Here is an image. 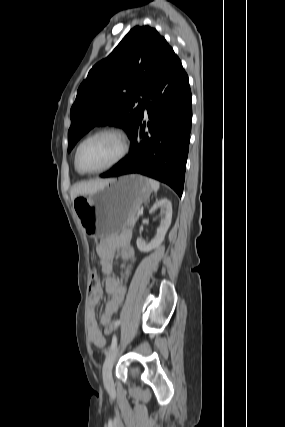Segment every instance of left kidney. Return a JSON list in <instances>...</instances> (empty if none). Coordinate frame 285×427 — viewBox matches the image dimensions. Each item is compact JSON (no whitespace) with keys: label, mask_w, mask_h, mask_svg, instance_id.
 <instances>
[{"label":"left kidney","mask_w":285,"mask_h":427,"mask_svg":"<svg viewBox=\"0 0 285 427\" xmlns=\"http://www.w3.org/2000/svg\"><path fill=\"white\" fill-rule=\"evenodd\" d=\"M158 208L165 214V218L161 221L160 227L157 229V234L154 239L150 242L149 245H146L145 242L138 238L136 241L137 248L141 252H149L155 248H157L164 240L166 232L171 224L172 219V204L167 199H161L157 201L152 208L150 209V214L155 212Z\"/></svg>","instance_id":"1"}]
</instances>
